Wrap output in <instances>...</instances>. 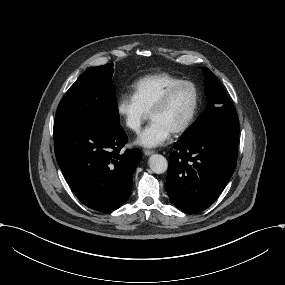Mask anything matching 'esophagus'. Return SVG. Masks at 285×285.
<instances>
[{"label": "esophagus", "mask_w": 285, "mask_h": 285, "mask_svg": "<svg viewBox=\"0 0 285 285\" xmlns=\"http://www.w3.org/2000/svg\"><path fill=\"white\" fill-rule=\"evenodd\" d=\"M153 153H154V151H152V150H144V154L146 156L152 155Z\"/></svg>", "instance_id": "1"}]
</instances>
